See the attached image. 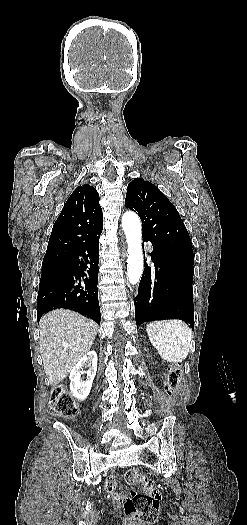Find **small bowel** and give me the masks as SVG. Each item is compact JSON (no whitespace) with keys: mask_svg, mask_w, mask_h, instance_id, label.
I'll use <instances>...</instances> for the list:
<instances>
[{"mask_svg":"<svg viewBox=\"0 0 247 525\" xmlns=\"http://www.w3.org/2000/svg\"><path fill=\"white\" fill-rule=\"evenodd\" d=\"M106 490L108 493L113 494L116 492V482L114 480H108L106 482ZM116 500H120V497H116ZM121 500H124V497H121Z\"/></svg>","mask_w":247,"mask_h":525,"instance_id":"obj_1","label":"small bowel"}]
</instances>
